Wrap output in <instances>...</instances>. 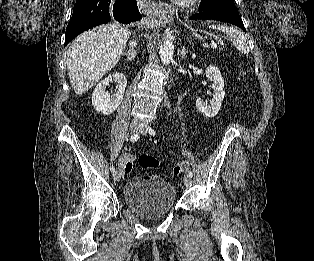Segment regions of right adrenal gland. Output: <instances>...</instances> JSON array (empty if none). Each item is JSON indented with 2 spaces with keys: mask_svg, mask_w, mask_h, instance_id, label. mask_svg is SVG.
<instances>
[{
  "mask_svg": "<svg viewBox=\"0 0 314 261\" xmlns=\"http://www.w3.org/2000/svg\"><path fill=\"white\" fill-rule=\"evenodd\" d=\"M135 58V52L133 50H128L126 54V60L127 61H133Z\"/></svg>",
  "mask_w": 314,
  "mask_h": 261,
  "instance_id": "2a0ac1e0",
  "label": "right adrenal gland"
}]
</instances>
